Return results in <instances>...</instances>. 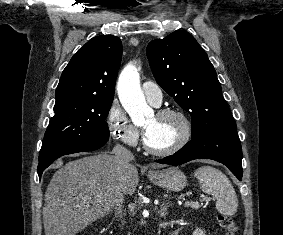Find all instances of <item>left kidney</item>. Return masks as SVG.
Wrapping results in <instances>:
<instances>
[{
	"mask_svg": "<svg viewBox=\"0 0 283 235\" xmlns=\"http://www.w3.org/2000/svg\"><path fill=\"white\" fill-rule=\"evenodd\" d=\"M193 235H205V232L200 228H196L193 232Z\"/></svg>",
	"mask_w": 283,
	"mask_h": 235,
	"instance_id": "left-kidney-1",
	"label": "left kidney"
}]
</instances>
